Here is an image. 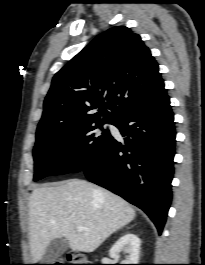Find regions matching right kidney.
<instances>
[{"instance_id":"obj_1","label":"right kidney","mask_w":205,"mask_h":265,"mask_svg":"<svg viewBox=\"0 0 205 265\" xmlns=\"http://www.w3.org/2000/svg\"><path fill=\"white\" fill-rule=\"evenodd\" d=\"M140 245L141 241L138 236L132 233H127L119 238V240L112 246L109 255L112 258H116L118 254L123 251L128 254V256L122 264H138Z\"/></svg>"}]
</instances>
